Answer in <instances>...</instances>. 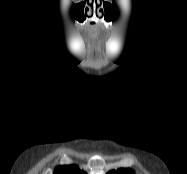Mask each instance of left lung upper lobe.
I'll return each instance as SVG.
<instances>
[{
    "instance_id": "1",
    "label": "left lung upper lobe",
    "mask_w": 187,
    "mask_h": 174,
    "mask_svg": "<svg viewBox=\"0 0 187 174\" xmlns=\"http://www.w3.org/2000/svg\"><path fill=\"white\" fill-rule=\"evenodd\" d=\"M108 174H134V172L131 169H119L110 171Z\"/></svg>"
}]
</instances>
